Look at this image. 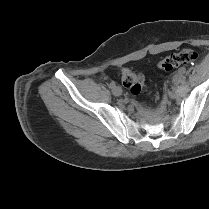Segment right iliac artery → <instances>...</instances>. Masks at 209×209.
I'll use <instances>...</instances> for the list:
<instances>
[{
	"label": "right iliac artery",
	"instance_id": "82829eb1",
	"mask_svg": "<svg viewBox=\"0 0 209 209\" xmlns=\"http://www.w3.org/2000/svg\"><path fill=\"white\" fill-rule=\"evenodd\" d=\"M115 86H116V84H115L114 81H112V82L109 84V87H110V88H114Z\"/></svg>",
	"mask_w": 209,
	"mask_h": 209
}]
</instances>
